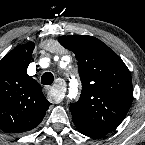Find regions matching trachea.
Segmentation results:
<instances>
[{"mask_svg": "<svg viewBox=\"0 0 145 145\" xmlns=\"http://www.w3.org/2000/svg\"><path fill=\"white\" fill-rule=\"evenodd\" d=\"M54 81V76L51 72H46L41 77V83L43 85H51Z\"/></svg>", "mask_w": 145, "mask_h": 145, "instance_id": "trachea-1", "label": "trachea"}]
</instances>
